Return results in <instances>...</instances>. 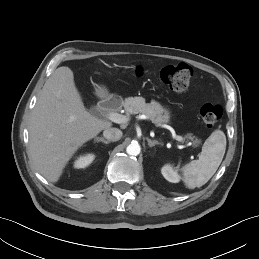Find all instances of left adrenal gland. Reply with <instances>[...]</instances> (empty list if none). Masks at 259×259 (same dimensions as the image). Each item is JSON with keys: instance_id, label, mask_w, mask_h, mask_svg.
<instances>
[{"instance_id": "obj_1", "label": "left adrenal gland", "mask_w": 259, "mask_h": 259, "mask_svg": "<svg viewBox=\"0 0 259 259\" xmlns=\"http://www.w3.org/2000/svg\"><path fill=\"white\" fill-rule=\"evenodd\" d=\"M147 142H148V145H149V147H153V146H155V145H162L160 142H158V141H152L151 139H149V138H147Z\"/></svg>"}]
</instances>
